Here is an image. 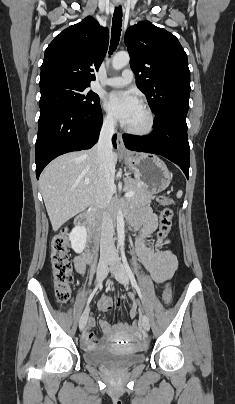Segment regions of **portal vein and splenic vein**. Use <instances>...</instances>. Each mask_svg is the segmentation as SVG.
Here are the masks:
<instances>
[{
    "instance_id": "18ae733b",
    "label": "portal vein and splenic vein",
    "mask_w": 235,
    "mask_h": 404,
    "mask_svg": "<svg viewBox=\"0 0 235 404\" xmlns=\"http://www.w3.org/2000/svg\"><path fill=\"white\" fill-rule=\"evenodd\" d=\"M85 184H88V182H85ZM134 192L133 191H129V192H127L126 194H125V197L126 198H130V197H132V196H134Z\"/></svg>"
}]
</instances>
